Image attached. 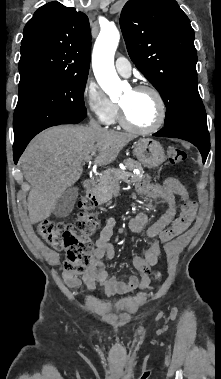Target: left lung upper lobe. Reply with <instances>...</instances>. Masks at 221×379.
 Masks as SVG:
<instances>
[{"label":"left lung upper lobe","mask_w":221,"mask_h":379,"mask_svg":"<svg viewBox=\"0 0 221 379\" xmlns=\"http://www.w3.org/2000/svg\"><path fill=\"white\" fill-rule=\"evenodd\" d=\"M119 19L131 60L165 103V125H207L197 89L194 30L177 2L129 0Z\"/></svg>","instance_id":"left-lung-upper-lobe-1"}]
</instances>
